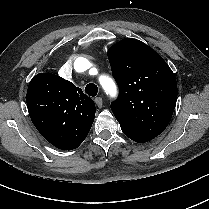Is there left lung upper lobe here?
Wrapping results in <instances>:
<instances>
[{
  "instance_id": "5c2ea615",
  "label": "left lung upper lobe",
  "mask_w": 209,
  "mask_h": 209,
  "mask_svg": "<svg viewBox=\"0 0 209 209\" xmlns=\"http://www.w3.org/2000/svg\"><path fill=\"white\" fill-rule=\"evenodd\" d=\"M119 96L111 110L130 139L145 143L169 124L177 99V82L164 59L145 43L126 38L108 50Z\"/></svg>"
}]
</instances>
